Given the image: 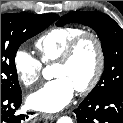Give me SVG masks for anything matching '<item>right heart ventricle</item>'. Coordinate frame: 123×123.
Instances as JSON below:
<instances>
[{
  "mask_svg": "<svg viewBox=\"0 0 123 123\" xmlns=\"http://www.w3.org/2000/svg\"><path fill=\"white\" fill-rule=\"evenodd\" d=\"M82 32L81 28L74 26L52 28L46 31L35 42L41 61L45 64L57 61L68 43Z\"/></svg>",
  "mask_w": 123,
  "mask_h": 123,
  "instance_id": "right-heart-ventricle-1",
  "label": "right heart ventricle"
}]
</instances>
